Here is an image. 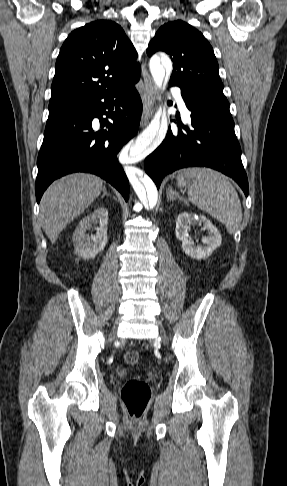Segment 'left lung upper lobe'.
<instances>
[{
  "instance_id": "1",
  "label": "left lung upper lobe",
  "mask_w": 287,
  "mask_h": 486,
  "mask_svg": "<svg viewBox=\"0 0 287 486\" xmlns=\"http://www.w3.org/2000/svg\"><path fill=\"white\" fill-rule=\"evenodd\" d=\"M157 51L174 61L169 83L188 89L210 110L232 119L213 48L201 32L184 21H170L149 43L147 54Z\"/></svg>"
}]
</instances>
